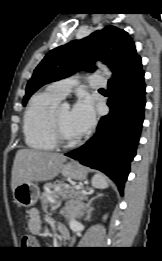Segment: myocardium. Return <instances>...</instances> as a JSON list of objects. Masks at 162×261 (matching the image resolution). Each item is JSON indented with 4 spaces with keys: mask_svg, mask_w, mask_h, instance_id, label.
Returning <instances> with one entry per match:
<instances>
[{
    "mask_svg": "<svg viewBox=\"0 0 162 261\" xmlns=\"http://www.w3.org/2000/svg\"><path fill=\"white\" fill-rule=\"evenodd\" d=\"M50 129L56 145L62 146L64 148H71L76 146L80 142V138L69 140L63 135L57 121L56 109H53V111L50 114Z\"/></svg>",
    "mask_w": 162,
    "mask_h": 261,
    "instance_id": "f54148a6",
    "label": "myocardium"
}]
</instances>
